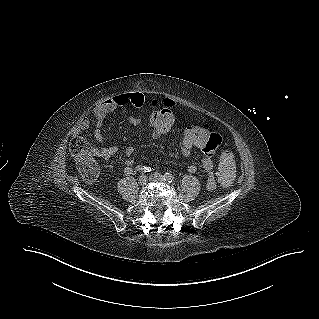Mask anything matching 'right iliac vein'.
I'll list each match as a JSON object with an SVG mask.
<instances>
[{
  "instance_id": "obj_1",
  "label": "right iliac vein",
  "mask_w": 319,
  "mask_h": 319,
  "mask_svg": "<svg viewBox=\"0 0 319 319\" xmlns=\"http://www.w3.org/2000/svg\"><path fill=\"white\" fill-rule=\"evenodd\" d=\"M148 182V177L146 175H141L139 178H138V184L140 186H144L146 185Z\"/></svg>"
}]
</instances>
